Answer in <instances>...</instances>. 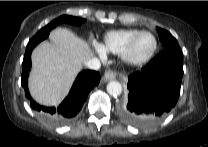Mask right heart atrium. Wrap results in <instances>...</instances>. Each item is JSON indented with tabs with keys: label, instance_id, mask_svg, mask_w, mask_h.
Instances as JSON below:
<instances>
[{
	"label": "right heart atrium",
	"instance_id": "1",
	"mask_svg": "<svg viewBox=\"0 0 208 147\" xmlns=\"http://www.w3.org/2000/svg\"><path fill=\"white\" fill-rule=\"evenodd\" d=\"M92 45L94 47V49L100 54V55H105L106 54V50L103 46V44H101L100 42H98L96 39H92Z\"/></svg>",
	"mask_w": 208,
	"mask_h": 147
}]
</instances>
